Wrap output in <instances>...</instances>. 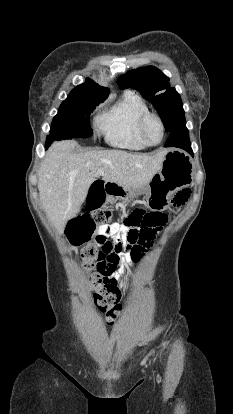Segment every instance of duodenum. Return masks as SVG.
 <instances>
[{"mask_svg":"<svg viewBox=\"0 0 233 414\" xmlns=\"http://www.w3.org/2000/svg\"><path fill=\"white\" fill-rule=\"evenodd\" d=\"M116 186L119 185L113 181L96 179L89 189L85 210L87 212H97L99 205L106 204L105 196H115L114 190Z\"/></svg>","mask_w":233,"mask_h":414,"instance_id":"obj_1","label":"duodenum"}]
</instances>
